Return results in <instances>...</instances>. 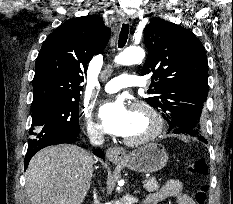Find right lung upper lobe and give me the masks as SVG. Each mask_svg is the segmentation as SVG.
<instances>
[{"label":"right lung upper lobe","instance_id":"1","mask_svg":"<svg viewBox=\"0 0 233 204\" xmlns=\"http://www.w3.org/2000/svg\"><path fill=\"white\" fill-rule=\"evenodd\" d=\"M110 33L101 17L88 15L48 35L36 60L32 105L79 99L87 64L104 50Z\"/></svg>","mask_w":233,"mask_h":204}]
</instances>
